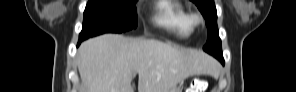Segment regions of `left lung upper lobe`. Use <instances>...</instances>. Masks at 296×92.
Masks as SVG:
<instances>
[{
    "label": "left lung upper lobe",
    "mask_w": 296,
    "mask_h": 92,
    "mask_svg": "<svg viewBox=\"0 0 296 92\" xmlns=\"http://www.w3.org/2000/svg\"><path fill=\"white\" fill-rule=\"evenodd\" d=\"M194 2L204 18L206 19V26L208 29V40L203 50L221 60L222 49L221 40L218 35L217 28V12L214 0H191Z\"/></svg>",
    "instance_id": "5c2ea615"
}]
</instances>
